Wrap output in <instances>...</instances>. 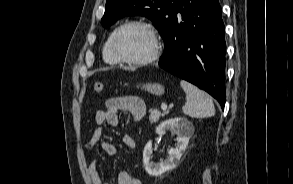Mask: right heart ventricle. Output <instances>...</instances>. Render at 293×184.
I'll return each mask as SVG.
<instances>
[{
    "label": "right heart ventricle",
    "instance_id": "right-heart-ventricle-1",
    "mask_svg": "<svg viewBox=\"0 0 293 184\" xmlns=\"http://www.w3.org/2000/svg\"><path fill=\"white\" fill-rule=\"evenodd\" d=\"M115 30H113L108 38L106 39L104 45H103V48H102V57H103V60L106 64H109V65H116L118 63L117 59L113 56L112 54V51H111V47H110V44H111V38L114 34Z\"/></svg>",
    "mask_w": 293,
    "mask_h": 184
}]
</instances>
